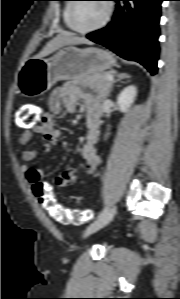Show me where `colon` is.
<instances>
[{"mask_svg":"<svg viewBox=\"0 0 180 299\" xmlns=\"http://www.w3.org/2000/svg\"><path fill=\"white\" fill-rule=\"evenodd\" d=\"M44 116L39 107L19 108L16 112L17 125L28 129L38 125ZM33 192L39 204L56 220L67 224H82L92 217L90 209L64 208L57 203L52 186L47 183H36Z\"/></svg>","mask_w":180,"mask_h":299,"instance_id":"5ec220e1","label":"colon"}]
</instances>
